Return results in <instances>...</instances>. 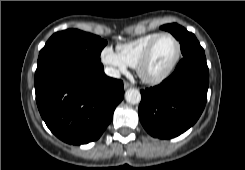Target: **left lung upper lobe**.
Returning a JSON list of instances; mask_svg holds the SVG:
<instances>
[{"instance_id": "1", "label": "left lung upper lobe", "mask_w": 245, "mask_h": 170, "mask_svg": "<svg viewBox=\"0 0 245 170\" xmlns=\"http://www.w3.org/2000/svg\"><path fill=\"white\" fill-rule=\"evenodd\" d=\"M160 28L169 31L179 40L183 57H195L206 60L204 50L194 34L176 23L163 25Z\"/></svg>"}]
</instances>
